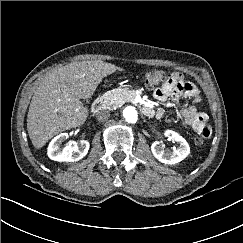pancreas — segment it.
<instances>
[{"label": "pancreas", "mask_w": 243, "mask_h": 243, "mask_svg": "<svg viewBox=\"0 0 243 243\" xmlns=\"http://www.w3.org/2000/svg\"><path fill=\"white\" fill-rule=\"evenodd\" d=\"M134 97V91L121 89L111 90L103 95V99L106 101L107 107L111 109L122 106L125 102L131 101Z\"/></svg>", "instance_id": "obj_1"}]
</instances>
